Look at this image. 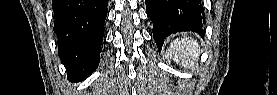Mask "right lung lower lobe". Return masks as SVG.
Here are the masks:
<instances>
[{"mask_svg": "<svg viewBox=\"0 0 277 95\" xmlns=\"http://www.w3.org/2000/svg\"><path fill=\"white\" fill-rule=\"evenodd\" d=\"M108 0H53L54 32L70 81L86 79L98 67Z\"/></svg>", "mask_w": 277, "mask_h": 95, "instance_id": "98d812e1", "label": "right lung lower lobe"}]
</instances>
